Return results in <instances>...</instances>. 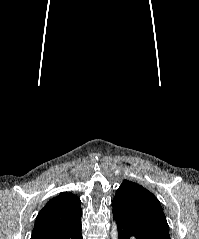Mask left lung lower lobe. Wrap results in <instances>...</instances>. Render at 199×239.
<instances>
[{"label": "left lung lower lobe", "mask_w": 199, "mask_h": 239, "mask_svg": "<svg viewBox=\"0 0 199 239\" xmlns=\"http://www.w3.org/2000/svg\"><path fill=\"white\" fill-rule=\"evenodd\" d=\"M113 218L116 221L118 239H129L131 237L135 239H151L144 234H142L139 230L133 227L130 223L118 218L115 214H113Z\"/></svg>", "instance_id": "obj_1"}]
</instances>
